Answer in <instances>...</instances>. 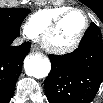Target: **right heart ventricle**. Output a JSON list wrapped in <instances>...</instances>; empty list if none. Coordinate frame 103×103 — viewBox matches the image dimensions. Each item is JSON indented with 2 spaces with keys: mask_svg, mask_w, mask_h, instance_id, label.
<instances>
[{
  "mask_svg": "<svg viewBox=\"0 0 103 103\" xmlns=\"http://www.w3.org/2000/svg\"><path fill=\"white\" fill-rule=\"evenodd\" d=\"M68 9H70L68 6H58L36 11L25 23L26 34L32 38L41 36L50 22Z\"/></svg>",
  "mask_w": 103,
  "mask_h": 103,
  "instance_id": "1",
  "label": "right heart ventricle"
}]
</instances>
